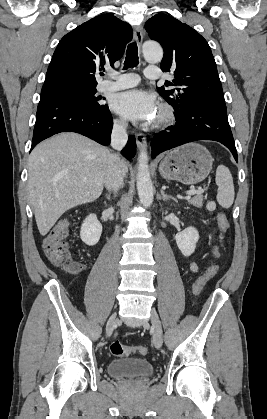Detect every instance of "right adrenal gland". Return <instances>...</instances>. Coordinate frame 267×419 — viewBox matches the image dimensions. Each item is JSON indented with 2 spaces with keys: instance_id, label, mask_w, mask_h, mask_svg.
<instances>
[{
  "instance_id": "obj_1",
  "label": "right adrenal gland",
  "mask_w": 267,
  "mask_h": 419,
  "mask_svg": "<svg viewBox=\"0 0 267 419\" xmlns=\"http://www.w3.org/2000/svg\"><path fill=\"white\" fill-rule=\"evenodd\" d=\"M116 196V195H115ZM114 196V197H115ZM106 198L110 201L111 200V197H110V195H106Z\"/></svg>"
}]
</instances>
